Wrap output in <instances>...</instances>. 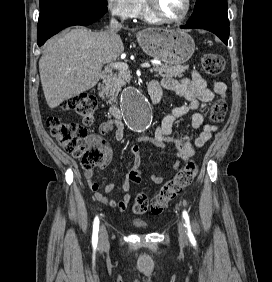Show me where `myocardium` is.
<instances>
[{"label":"myocardium","instance_id":"f54148a6","mask_svg":"<svg viewBox=\"0 0 272 282\" xmlns=\"http://www.w3.org/2000/svg\"><path fill=\"white\" fill-rule=\"evenodd\" d=\"M185 11L184 13L179 17H167L164 15L159 8L157 7L155 0H145V9L148 14L153 16L155 19L165 22V23H180L184 21L190 14L192 9V1L191 0H185Z\"/></svg>","mask_w":272,"mask_h":282}]
</instances>
